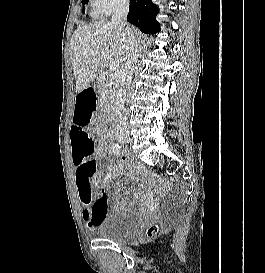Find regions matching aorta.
I'll use <instances>...</instances> for the list:
<instances>
[{"mask_svg":"<svg viewBox=\"0 0 265 273\" xmlns=\"http://www.w3.org/2000/svg\"><path fill=\"white\" fill-rule=\"evenodd\" d=\"M125 96L126 90L123 87H121L114 96V113L117 119H120L124 114Z\"/></svg>","mask_w":265,"mask_h":273,"instance_id":"obj_1","label":"aorta"}]
</instances>
